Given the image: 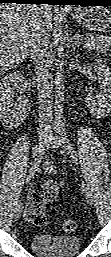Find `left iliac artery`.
Wrapping results in <instances>:
<instances>
[{"mask_svg": "<svg viewBox=\"0 0 111 257\" xmlns=\"http://www.w3.org/2000/svg\"><path fill=\"white\" fill-rule=\"evenodd\" d=\"M60 136L62 138V142L65 146V148L68 150V153L72 159L73 162H75L76 164H78V160L75 154V151L72 148V145L67 137L66 132L64 131V129L59 130Z\"/></svg>", "mask_w": 111, "mask_h": 257, "instance_id": "44dca946", "label": "left iliac artery"}]
</instances>
